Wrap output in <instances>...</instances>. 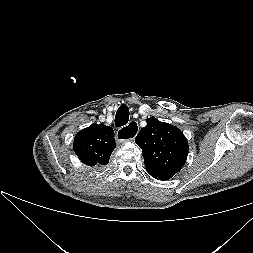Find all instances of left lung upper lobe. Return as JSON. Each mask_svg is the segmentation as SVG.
<instances>
[{
  "mask_svg": "<svg viewBox=\"0 0 253 253\" xmlns=\"http://www.w3.org/2000/svg\"><path fill=\"white\" fill-rule=\"evenodd\" d=\"M142 149L144 164L155 179L168 180L185 164L188 142L175 126L152 117L135 138Z\"/></svg>",
  "mask_w": 253,
  "mask_h": 253,
  "instance_id": "obj_1",
  "label": "left lung upper lobe"
}]
</instances>
